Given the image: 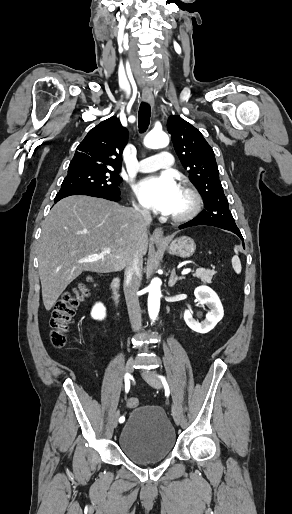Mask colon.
Listing matches in <instances>:
<instances>
[{"label": "colon", "mask_w": 292, "mask_h": 514, "mask_svg": "<svg viewBox=\"0 0 292 514\" xmlns=\"http://www.w3.org/2000/svg\"><path fill=\"white\" fill-rule=\"evenodd\" d=\"M88 292L86 284H78L66 291L55 303L54 312L49 320L50 340L54 348L64 347L70 320L76 307L84 300ZM126 404L131 409L140 407L139 399L136 397H128Z\"/></svg>", "instance_id": "1"}]
</instances>
